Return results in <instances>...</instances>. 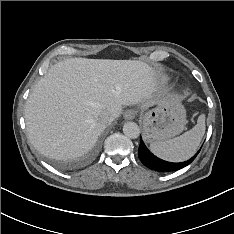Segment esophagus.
<instances>
[{
	"mask_svg": "<svg viewBox=\"0 0 234 234\" xmlns=\"http://www.w3.org/2000/svg\"><path fill=\"white\" fill-rule=\"evenodd\" d=\"M135 116H136V111L134 109H128L123 114L125 120H133Z\"/></svg>",
	"mask_w": 234,
	"mask_h": 234,
	"instance_id": "esophagus-1",
	"label": "esophagus"
}]
</instances>
